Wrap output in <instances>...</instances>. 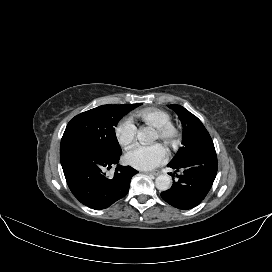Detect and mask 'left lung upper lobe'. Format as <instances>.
Instances as JSON below:
<instances>
[{"label":"left lung upper lobe","mask_w":272,"mask_h":272,"mask_svg":"<svg viewBox=\"0 0 272 272\" xmlns=\"http://www.w3.org/2000/svg\"><path fill=\"white\" fill-rule=\"evenodd\" d=\"M169 107L176 112L183 125V146L178 150L171 163H178L190 155L214 147L208 131L195 115L177 104Z\"/></svg>","instance_id":"5c2ea615"}]
</instances>
